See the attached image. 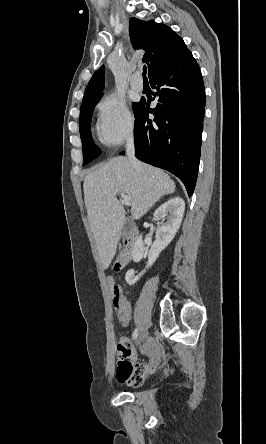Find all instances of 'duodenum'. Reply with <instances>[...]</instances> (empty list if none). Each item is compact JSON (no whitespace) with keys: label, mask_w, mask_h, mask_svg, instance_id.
<instances>
[{"label":"duodenum","mask_w":266,"mask_h":444,"mask_svg":"<svg viewBox=\"0 0 266 444\" xmlns=\"http://www.w3.org/2000/svg\"><path fill=\"white\" fill-rule=\"evenodd\" d=\"M136 236V229L134 227H131L123 241V250L119 256V261L117 262L118 267L122 268L126 264L130 253L131 244L135 240Z\"/></svg>","instance_id":"1"}]
</instances>
